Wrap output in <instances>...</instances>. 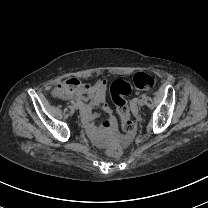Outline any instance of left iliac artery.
Returning a JSON list of instances; mask_svg holds the SVG:
<instances>
[{"instance_id":"44dca946","label":"left iliac artery","mask_w":208,"mask_h":208,"mask_svg":"<svg viewBox=\"0 0 208 208\" xmlns=\"http://www.w3.org/2000/svg\"><path fill=\"white\" fill-rule=\"evenodd\" d=\"M142 98H146V94H142Z\"/></svg>"}]
</instances>
